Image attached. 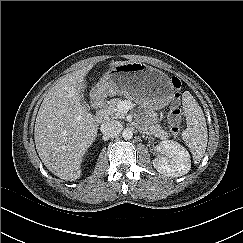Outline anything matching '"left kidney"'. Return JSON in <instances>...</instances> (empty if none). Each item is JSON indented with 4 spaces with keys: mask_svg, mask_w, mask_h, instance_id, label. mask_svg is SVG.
<instances>
[{
    "mask_svg": "<svg viewBox=\"0 0 243 243\" xmlns=\"http://www.w3.org/2000/svg\"><path fill=\"white\" fill-rule=\"evenodd\" d=\"M163 155L153 160L154 168L169 177H179L189 172L191 159L189 152L178 142L164 140L159 144Z\"/></svg>",
    "mask_w": 243,
    "mask_h": 243,
    "instance_id": "5707ae66",
    "label": "left kidney"
}]
</instances>
